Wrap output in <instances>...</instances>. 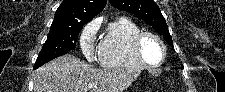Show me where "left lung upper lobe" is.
Segmentation results:
<instances>
[{
  "label": "left lung upper lobe",
  "instance_id": "obj_1",
  "mask_svg": "<svg viewBox=\"0 0 225 92\" xmlns=\"http://www.w3.org/2000/svg\"><path fill=\"white\" fill-rule=\"evenodd\" d=\"M110 4L119 10L130 12L151 25L164 36L167 43L173 47L166 21L158 5L153 0H109ZM181 68H184L181 65Z\"/></svg>",
  "mask_w": 225,
  "mask_h": 92
}]
</instances>
